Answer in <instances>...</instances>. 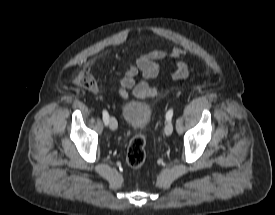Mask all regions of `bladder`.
<instances>
[{
    "mask_svg": "<svg viewBox=\"0 0 275 215\" xmlns=\"http://www.w3.org/2000/svg\"><path fill=\"white\" fill-rule=\"evenodd\" d=\"M152 109L148 102L142 100L126 101L122 108L123 119L128 127L139 130L148 125Z\"/></svg>",
    "mask_w": 275,
    "mask_h": 215,
    "instance_id": "31cf9c89",
    "label": "bladder"
}]
</instances>
